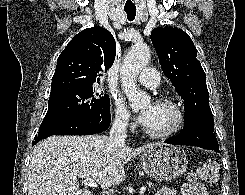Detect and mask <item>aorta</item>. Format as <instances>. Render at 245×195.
I'll use <instances>...</instances> for the list:
<instances>
[{"instance_id":"aorta-1","label":"aorta","mask_w":245,"mask_h":195,"mask_svg":"<svg viewBox=\"0 0 245 195\" xmlns=\"http://www.w3.org/2000/svg\"><path fill=\"white\" fill-rule=\"evenodd\" d=\"M150 58V50L146 45H135L128 52L121 66V85L131 103V108L135 111L143 108L150 102L149 95L139 91L136 85L137 76L148 65Z\"/></svg>"}]
</instances>
